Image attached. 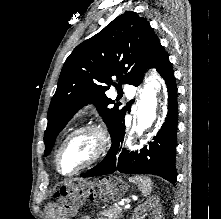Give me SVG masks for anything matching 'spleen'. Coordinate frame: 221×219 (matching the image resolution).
<instances>
[{
	"mask_svg": "<svg viewBox=\"0 0 221 219\" xmlns=\"http://www.w3.org/2000/svg\"><path fill=\"white\" fill-rule=\"evenodd\" d=\"M132 182H135L141 193L144 195V196H148L151 191H152V182L149 178H142V177H135L133 179H131Z\"/></svg>",
	"mask_w": 221,
	"mask_h": 219,
	"instance_id": "obj_1",
	"label": "spleen"
}]
</instances>
